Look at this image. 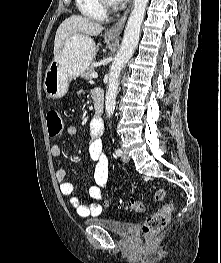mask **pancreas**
<instances>
[{
  "label": "pancreas",
  "mask_w": 221,
  "mask_h": 263,
  "mask_svg": "<svg viewBox=\"0 0 221 263\" xmlns=\"http://www.w3.org/2000/svg\"><path fill=\"white\" fill-rule=\"evenodd\" d=\"M96 66H97V62H92L91 65L86 69V71L81 75L82 78L87 80L92 79V73L95 72Z\"/></svg>",
  "instance_id": "cf45deb5"
}]
</instances>
